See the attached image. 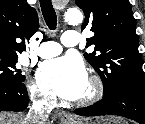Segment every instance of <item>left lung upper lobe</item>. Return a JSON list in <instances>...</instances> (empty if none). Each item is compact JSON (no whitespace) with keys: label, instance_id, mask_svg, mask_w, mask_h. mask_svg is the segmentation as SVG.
<instances>
[{"label":"left lung upper lobe","instance_id":"obj_1","mask_svg":"<svg viewBox=\"0 0 145 124\" xmlns=\"http://www.w3.org/2000/svg\"><path fill=\"white\" fill-rule=\"evenodd\" d=\"M75 3L85 13L81 29L95 33L86 44V47L95 45V50L84 57L102 79L103 97L123 87L145 91L136 21L129 0H75Z\"/></svg>","mask_w":145,"mask_h":124}]
</instances>
